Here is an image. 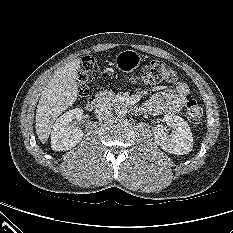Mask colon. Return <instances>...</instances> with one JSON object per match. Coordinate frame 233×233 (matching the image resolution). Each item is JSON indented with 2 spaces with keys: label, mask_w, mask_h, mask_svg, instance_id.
Segmentation results:
<instances>
[{
  "label": "colon",
  "mask_w": 233,
  "mask_h": 233,
  "mask_svg": "<svg viewBox=\"0 0 233 233\" xmlns=\"http://www.w3.org/2000/svg\"><path fill=\"white\" fill-rule=\"evenodd\" d=\"M95 77L94 59L91 57L83 58L78 72V91L81 96L88 95L91 82ZM134 80L148 84L174 83L178 80V75L166 63L152 61L141 69ZM185 114L188 121L196 125L201 120L202 109L195 100H189L186 103Z\"/></svg>",
  "instance_id": "5ec220e1"
}]
</instances>
